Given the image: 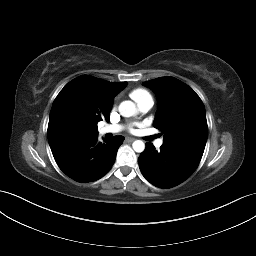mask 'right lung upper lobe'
<instances>
[{"mask_svg":"<svg viewBox=\"0 0 256 256\" xmlns=\"http://www.w3.org/2000/svg\"><path fill=\"white\" fill-rule=\"evenodd\" d=\"M126 85L86 75L69 82L52 105L47 130L50 147L97 135V123L109 120L113 99Z\"/></svg>","mask_w":256,"mask_h":256,"instance_id":"obj_1","label":"right lung upper lobe"}]
</instances>
